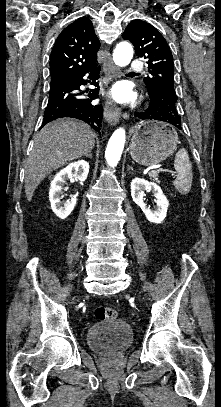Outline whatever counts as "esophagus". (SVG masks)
<instances>
[{
	"label": "esophagus",
	"mask_w": 221,
	"mask_h": 407,
	"mask_svg": "<svg viewBox=\"0 0 221 407\" xmlns=\"http://www.w3.org/2000/svg\"><path fill=\"white\" fill-rule=\"evenodd\" d=\"M103 71L108 79L112 77H119L121 70L113 65L109 59L103 66ZM105 97L104 116L106 121L111 125H116L119 122L120 108L113 102L107 93L103 94Z\"/></svg>",
	"instance_id": "34e87169"
}]
</instances>
